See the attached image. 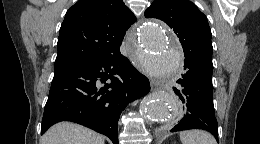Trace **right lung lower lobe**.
Here are the masks:
<instances>
[{
	"mask_svg": "<svg viewBox=\"0 0 260 144\" xmlns=\"http://www.w3.org/2000/svg\"><path fill=\"white\" fill-rule=\"evenodd\" d=\"M149 91V80L120 51L57 70L45 105L41 134L57 122L72 121L118 144L121 112Z\"/></svg>",
	"mask_w": 260,
	"mask_h": 144,
	"instance_id": "obj_1",
	"label": "right lung lower lobe"
}]
</instances>
